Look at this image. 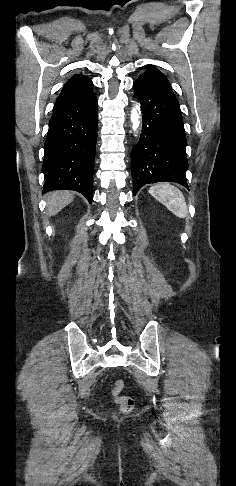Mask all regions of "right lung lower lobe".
Wrapping results in <instances>:
<instances>
[{
  "mask_svg": "<svg viewBox=\"0 0 236 486\" xmlns=\"http://www.w3.org/2000/svg\"><path fill=\"white\" fill-rule=\"evenodd\" d=\"M97 138V98L56 104L44 144L43 192L74 190L92 202V176Z\"/></svg>",
  "mask_w": 236,
  "mask_h": 486,
  "instance_id": "right-lung-lower-lobe-1",
  "label": "right lung lower lobe"
}]
</instances>
